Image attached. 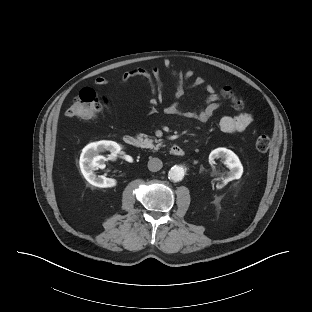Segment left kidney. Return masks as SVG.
<instances>
[{
    "label": "left kidney",
    "instance_id": "5707ae66",
    "mask_svg": "<svg viewBox=\"0 0 312 312\" xmlns=\"http://www.w3.org/2000/svg\"><path fill=\"white\" fill-rule=\"evenodd\" d=\"M221 158L224 164L230 169L226 174H222L220 179L224 184L228 182L240 179L243 174V166L238 158V156L231 150L226 148L214 149L209 155V162L214 163L215 159Z\"/></svg>",
    "mask_w": 312,
    "mask_h": 312
}]
</instances>
